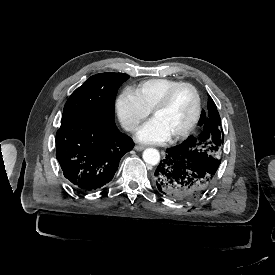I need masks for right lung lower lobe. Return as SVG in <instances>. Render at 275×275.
I'll return each instance as SVG.
<instances>
[{"instance_id": "obj_1", "label": "right lung lower lobe", "mask_w": 275, "mask_h": 275, "mask_svg": "<svg viewBox=\"0 0 275 275\" xmlns=\"http://www.w3.org/2000/svg\"><path fill=\"white\" fill-rule=\"evenodd\" d=\"M134 146L116 125L102 126L82 117H67L56 134V157L65 178L84 192L109 183L122 156Z\"/></svg>"}]
</instances>
